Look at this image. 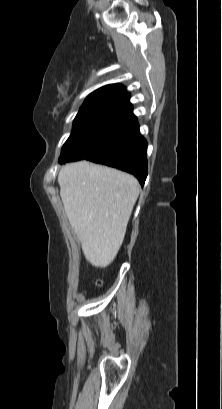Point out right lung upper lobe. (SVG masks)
<instances>
[{
	"instance_id": "obj_1",
	"label": "right lung upper lobe",
	"mask_w": 222,
	"mask_h": 409,
	"mask_svg": "<svg viewBox=\"0 0 222 409\" xmlns=\"http://www.w3.org/2000/svg\"><path fill=\"white\" fill-rule=\"evenodd\" d=\"M129 94L125 87L120 84L103 86L92 92L85 100L80 109L100 108V107H123L132 109L129 103Z\"/></svg>"
}]
</instances>
